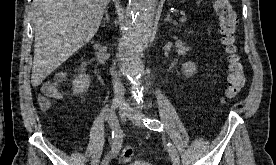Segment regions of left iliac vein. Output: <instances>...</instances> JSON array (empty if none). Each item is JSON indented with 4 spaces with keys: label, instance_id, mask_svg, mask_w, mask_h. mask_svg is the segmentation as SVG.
<instances>
[{
    "label": "left iliac vein",
    "instance_id": "obj_1",
    "mask_svg": "<svg viewBox=\"0 0 276 165\" xmlns=\"http://www.w3.org/2000/svg\"><path fill=\"white\" fill-rule=\"evenodd\" d=\"M120 113L128 117L135 125L139 127H144V122L142 121L139 114H137L132 108L128 107L126 104H124V106L120 108ZM172 165H180V161L173 160Z\"/></svg>",
    "mask_w": 276,
    "mask_h": 165
}]
</instances>
